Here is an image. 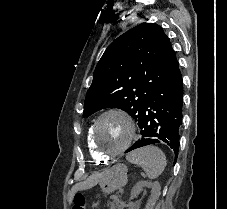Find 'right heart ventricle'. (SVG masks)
Listing matches in <instances>:
<instances>
[{"label": "right heart ventricle", "instance_id": "e07e8e85", "mask_svg": "<svg viewBox=\"0 0 227 209\" xmlns=\"http://www.w3.org/2000/svg\"><path fill=\"white\" fill-rule=\"evenodd\" d=\"M91 126L92 125H90L88 127L87 134H86V143H87L89 153H90L92 159L97 163L107 161L108 159H103L97 154V152H96V150H95V148L92 144V141H91Z\"/></svg>", "mask_w": 227, "mask_h": 209}]
</instances>
